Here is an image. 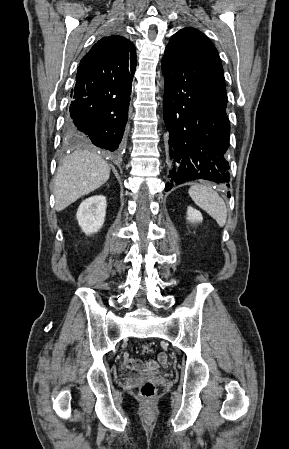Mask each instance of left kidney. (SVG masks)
<instances>
[{"label": "left kidney", "instance_id": "obj_1", "mask_svg": "<svg viewBox=\"0 0 289 449\" xmlns=\"http://www.w3.org/2000/svg\"><path fill=\"white\" fill-rule=\"evenodd\" d=\"M187 219L192 223H197V222H202L203 217H202V214L198 210L189 206L187 208Z\"/></svg>", "mask_w": 289, "mask_h": 449}]
</instances>
